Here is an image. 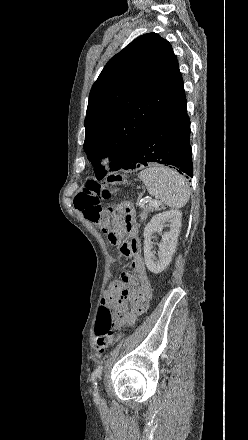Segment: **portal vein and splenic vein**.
I'll return each mask as SVG.
<instances>
[{
  "mask_svg": "<svg viewBox=\"0 0 248 440\" xmlns=\"http://www.w3.org/2000/svg\"><path fill=\"white\" fill-rule=\"evenodd\" d=\"M147 201L149 202V204L153 205L154 207H158V206H159V203L156 202V201H153V200H151V199H149V200H147Z\"/></svg>",
  "mask_w": 248,
  "mask_h": 440,
  "instance_id": "obj_1",
  "label": "portal vein and splenic vein"
}]
</instances>
